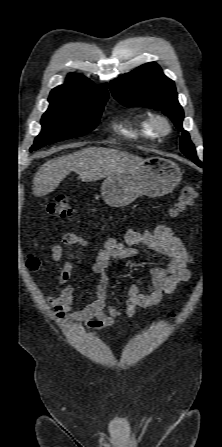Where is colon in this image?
Listing matches in <instances>:
<instances>
[{"mask_svg": "<svg viewBox=\"0 0 222 447\" xmlns=\"http://www.w3.org/2000/svg\"><path fill=\"white\" fill-rule=\"evenodd\" d=\"M196 189L193 185L189 184L182 188L180 195L178 197L177 202L175 203L172 209V216H178L182 214L193 202L196 198ZM47 213L51 216L58 218H68L73 214V208L71 206V201L69 197L61 196L54 200H52L47 205ZM41 265V262L38 258L34 256H28L27 266L30 270H37ZM171 317H174L175 314H170Z\"/></svg>", "mask_w": 222, "mask_h": 447, "instance_id": "obj_1", "label": "colon"}]
</instances>
